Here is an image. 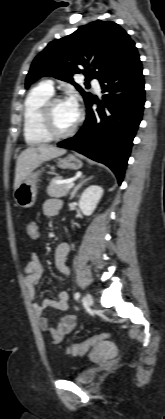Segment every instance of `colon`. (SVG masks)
<instances>
[{"label":"colon","mask_w":165,"mask_h":419,"mask_svg":"<svg viewBox=\"0 0 165 419\" xmlns=\"http://www.w3.org/2000/svg\"><path fill=\"white\" fill-rule=\"evenodd\" d=\"M34 222H30L29 225V232L34 235L36 233V227L33 224ZM109 333H101L95 335L81 343L74 344L68 348V352L74 356L83 355L90 350L94 349L98 344L107 340L109 338Z\"/></svg>","instance_id":"5ec220e1"}]
</instances>
